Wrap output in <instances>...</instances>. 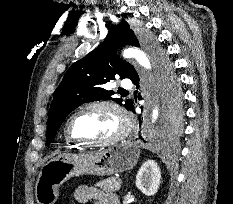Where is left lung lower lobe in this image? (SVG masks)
<instances>
[{"label":"left lung lower lobe","mask_w":233,"mask_h":204,"mask_svg":"<svg viewBox=\"0 0 233 204\" xmlns=\"http://www.w3.org/2000/svg\"><path fill=\"white\" fill-rule=\"evenodd\" d=\"M130 80L136 85V88L138 89L139 88V81H140V79H139V75H138L137 72L132 75V77L130 78ZM128 110H130V111H132V112L135 113V109L133 107V103L129 106ZM139 123H141V119L140 118H139ZM177 130L178 129H176V127H174L173 125L167 123L166 120H165V127H164V132L165 133H167V131L170 132V133H175ZM140 139L144 140L141 136H140ZM144 142H145V140H144Z\"/></svg>","instance_id":"obj_1"}]
</instances>
